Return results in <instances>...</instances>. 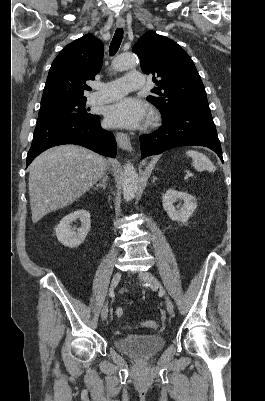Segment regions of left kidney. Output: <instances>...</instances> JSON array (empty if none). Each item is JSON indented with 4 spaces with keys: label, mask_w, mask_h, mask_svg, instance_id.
Returning <instances> with one entry per match:
<instances>
[{
    "label": "left kidney",
    "mask_w": 265,
    "mask_h": 401,
    "mask_svg": "<svg viewBox=\"0 0 265 401\" xmlns=\"http://www.w3.org/2000/svg\"><path fill=\"white\" fill-rule=\"evenodd\" d=\"M178 198H180V201H183V205L174 207V203L178 201ZM162 205L164 211H166L172 221L187 223L189 217L197 209V198L189 194V192H180V190H175V188H169L162 196Z\"/></svg>",
    "instance_id": "left-kidney-1"
}]
</instances>
